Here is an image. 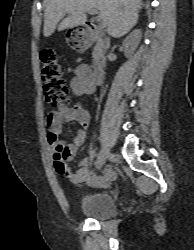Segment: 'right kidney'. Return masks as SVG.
Instances as JSON below:
<instances>
[{
	"mask_svg": "<svg viewBox=\"0 0 194 250\" xmlns=\"http://www.w3.org/2000/svg\"><path fill=\"white\" fill-rule=\"evenodd\" d=\"M142 32L140 29L133 31L129 36L124 39L122 45L124 47V53L126 57H129L133 54L136 50L140 39H141Z\"/></svg>",
	"mask_w": 194,
	"mask_h": 250,
	"instance_id": "ca27d5eb",
	"label": "right kidney"
}]
</instances>
